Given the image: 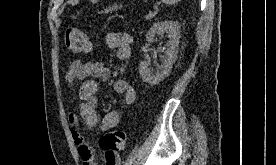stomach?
<instances>
[{
  "label": "stomach",
  "instance_id": "stomach-1",
  "mask_svg": "<svg viewBox=\"0 0 276 165\" xmlns=\"http://www.w3.org/2000/svg\"><path fill=\"white\" fill-rule=\"evenodd\" d=\"M117 9H118V5L115 4L112 7L109 6L108 8H106L104 12L108 13V12H112V11L117 10Z\"/></svg>",
  "mask_w": 276,
  "mask_h": 165
}]
</instances>
